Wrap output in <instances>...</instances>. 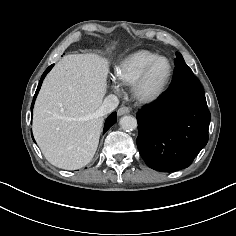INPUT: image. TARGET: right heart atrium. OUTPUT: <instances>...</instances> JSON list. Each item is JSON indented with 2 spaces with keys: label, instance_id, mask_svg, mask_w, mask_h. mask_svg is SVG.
Instances as JSON below:
<instances>
[{
  "label": "right heart atrium",
  "instance_id": "obj_1",
  "mask_svg": "<svg viewBox=\"0 0 236 236\" xmlns=\"http://www.w3.org/2000/svg\"><path fill=\"white\" fill-rule=\"evenodd\" d=\"M114 88H115L116 90H118V87H117V86H115Z\"/></svg>",
  "mask_w": 236,
  "mask_h": 236
}]
</instances>
